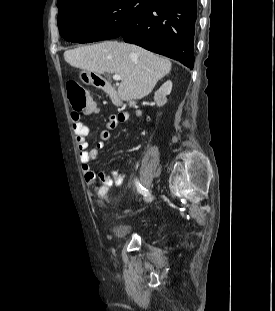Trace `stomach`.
<instances>
[{"label": "stomach", "instance_id": "stomach-1", "mask_svg": "<svg viewBox=\"0 0 275 311\" xmlns=\"http://www.w3.org/2000/svg\"><path fill=\"white\" fill-rule=\"evenodd\" d=\"M89 71H85V70H83V71H81L80 72V74H79V77H80V79H81V81L83 82V83H85V84H87V85H94V84H92V82L90 81V79H89V73H88Z\"/></svg>", "mask_w": 275, "mask_h": 311}]
</instances>
